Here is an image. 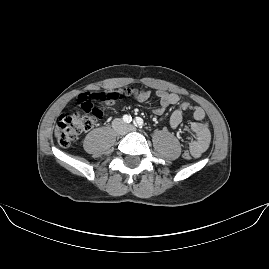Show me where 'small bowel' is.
<instances>
[{
    "label": "small bowel",
    "instance_id": "c3829d8e",
    "mask_svg": "<svg viewBox=\"0 0 269 269\" xmlns=\"http://www.w3.org/2000/svg\"><path fill=\"white\" fill-rule=\"evenodd\" d=\"M152 94L159 99V105L154 108L157 115L163 114L169 106L176 105L177 108L169 117V125L172 129H177L183 122L184 113L192 112L194 121L190 125L191 131L195 135V139L190 140L187 146L194 158H200L208 149L211 142V132L207 122L204 121V110L187 101H180L178 94L166 92L164 90H156L154 93L147 91L136 95L138 101L147 100Z\"/></svg>",
    "mask_w": 269,
    "mask_h": 269
}]
</instances>
